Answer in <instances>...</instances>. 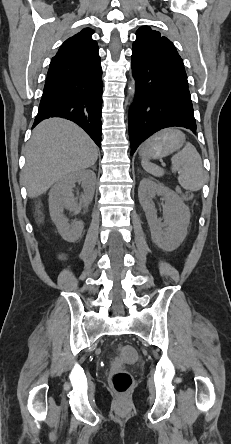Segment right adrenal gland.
<instances>
[{"instance_id": "right-adrenal-gland-1", "label": "right adrenal gland", "mask_w": 231, "mask_h": 444, "mask_svg": "<svg viewBox=\"0 0 231 444\" xmlns=\"http://www.w3.org/2000/svg\"><path fill=\"white\" fill-rule=\"evenodd\" d=\"M92 169L95 170V166H93Z\"/></svg>"}]
</instances>
